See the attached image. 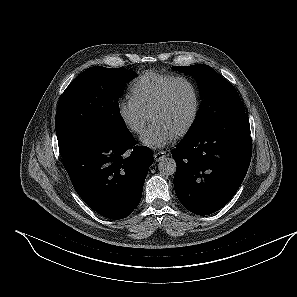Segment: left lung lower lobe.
<instances>
[{"label":"left lung lower lobe","mask_w":297,"mask_h":297,"mask_svg":"<svg viewBox=\"0 0 297 297\" xmlns=\"http://www.w3.org/2000/svg\"><path fill=\"white\" fill-rule=\"evenodd\" d=\"M172 155L174 188L183 206L198 215L218 211L237 192L251 161L248 115L239 112L189 133Z\"/></svg>","instance_id":"left-lung-lower-lobe-1"}]
</instances>
